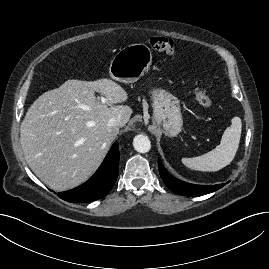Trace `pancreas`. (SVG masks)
<instances>
[{
    "label": "pancreas",
    "mask_w": 269,
    "mask_h": 269,
    "mask_svg": "<svg viewBox=\"0 0 269 269\" xmlns=\"http://www.w3.org/2000/svg\"><path fill=\"white\" fill-rule=\"evenodd\" d=\"M143 103H144L145 106H147V103H146V100L145 99H143Z\"/></svg>",
    "instance_id": "cf45deb5"
}]
</instances>
